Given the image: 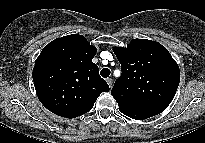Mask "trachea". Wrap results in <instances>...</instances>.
I'll return each instance as SVG.
<instances>
[{
    "mask_svg": "<svg viewBox=\"0 0 205 143\" xmlns=\"http://www.w3.org/2000/svg\"><path fill=\"white\" fill-rule=\"evenodd\" d=\"M110 70L108 68H103L100 72L101 76L107 78L110 75Z\"/></svg>",
    "mask_w": 205,
    "mask_h": 143,
    "instance_id": "3493384b",
    "label": "trachea"
}]
</instances>
